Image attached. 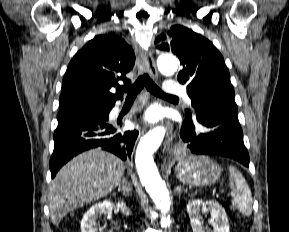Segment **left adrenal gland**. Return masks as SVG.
Here are the masks:
<instances>
[{
    "mask_svg": "<svg viewBox=\"0 0 289 232\" xmlns=\"http://www.w3.org/2000/svg\"><path fill=\"white\" fill-rule=\"evenodd\" d=\"M175 191L180 195L181 192L183 191V189H182L181 186H177L176 189H175ZM184 191H186V190H184Z\"/></svg>",
    "mask_w": 289,
    "mask_h": 232,
    "instance_id": "obj_1",
    "label": "left adrenal gland"
}]
</instances>
